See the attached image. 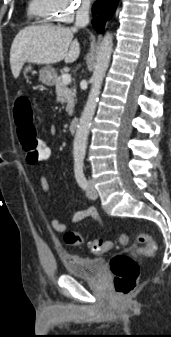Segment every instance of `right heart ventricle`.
<instances>
[{
	"label": "right heart ventricle",
	"instance_id": "1",
	"mask_svg": "<svg viewBox=\"0 0 171 337\" xmlns=\"http://www.w3.org/2000/svg\"><path fill=\"white\" fill-rule=\"evenodd\" d=\"M28 12L43 23H49L56 19V13L51 6L50 0H30Z\"/></svg>",
	"mask_w": 171,
	"mask_h": 337
}]
</instances>
